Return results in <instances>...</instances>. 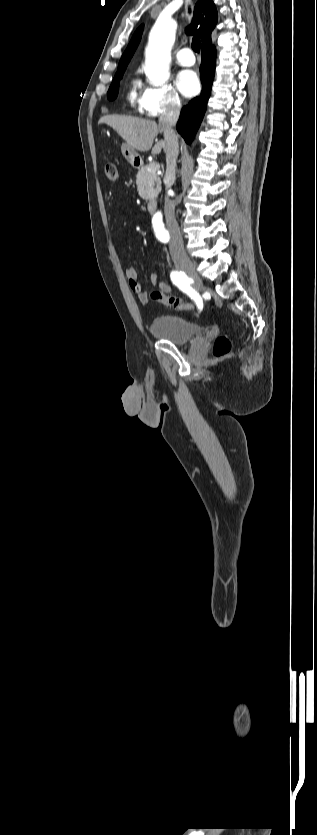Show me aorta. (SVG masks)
Here are the masks:
<instances>
[{"label": "aorta", "mask_w": 317, "mask_h": 835, "mask_svg": "<svg viewBox=\"0 0 317 835\" xmlns=\"http://www.w3.org/2000/svg\"><path fill=\"white\" fill-rule=\"evenodd\" d=\"M175 34L176 20L174 18H159L151 29L145 51L144 71L153 86L163 85L170 77L169 64ZM154 223L157 234L163 235L165 231L160 214L154 217Z\"/></svg>", "instance_id": "aorta-1"}]
</instances>
